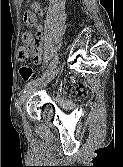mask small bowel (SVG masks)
<instances>
[{
  "label": "small bowel",
  "instance_id": "obj_1",
  "mask_svg": "<svg viewBox=\"0 0 123 167\" xmlns=\"http://www.w3.org/2000/svg\"><path fill=\"white\" fill-rule=\"evenodd\" d=\"M24 23L30 26H35L36 37L32 32L26 31L22 34V41L26 44L29 50V57L32 58L34 64L41 61L43 47L46 41V34L43 27L38 23L36 15L33 12H26L23 17Z\"/></svg>",
  "mask_w": 123,
  "mask_h": 167
}]
</instances>
